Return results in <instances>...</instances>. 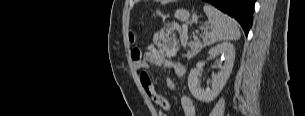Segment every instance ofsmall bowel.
<instances>
[{"label": "small bowel", "instance_id": "small-bowel-1", "mask_svg": "<svg viewBox=\"0 0 305 116\" xmlns=\"http://www.w3.org/2000/svg\"><path fill=\"white\" fill-rule=\"evenodd\" d=\"M131 58L136 70H146L150 67V65H156L163 68L172 69L178 76H182L185 73V68L181 63L168 59L155 45H149L144 54H142L140 50L134 49L131 52ZM140 81L146 96L152 102L163 108L165 111H169L171 109L170 102L167 98L157 92L149 75L146 79L142 78L140 75ZM168 84L173 89L176 87L172 79L168 80ZM180 105L184 116H196L194 102L189 96H182L180 98ZM160 116H167V114L161 112Z\"/></svg>", "mask_w": 305, "mask_h": 116}]
</instances>
